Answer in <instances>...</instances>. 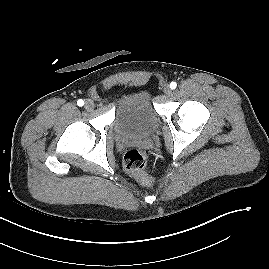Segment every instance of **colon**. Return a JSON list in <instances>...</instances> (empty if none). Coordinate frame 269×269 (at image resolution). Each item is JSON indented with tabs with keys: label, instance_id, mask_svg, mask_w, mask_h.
Returning <instances> with one entry per match:
<instances>
[{
	"label": "colon",
	"instance_id": "obj_1",
	"mask_svg": "<svg viewBox=\"0 0 269 269\" xmlns=\"http://www.w3.org/2000/svg\"><path fill=\"white\" fill-rule=\"evenodd\" d=\"M123 164L126 171L134 177L148 182V178L144 174V169L147 164V155L139 149H131L126 152Z\"/></svg>",
	"mask_w": 269,
	"mask_h": 269
}]
</instances>
